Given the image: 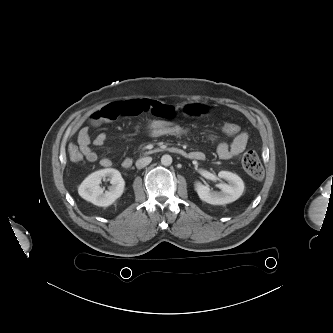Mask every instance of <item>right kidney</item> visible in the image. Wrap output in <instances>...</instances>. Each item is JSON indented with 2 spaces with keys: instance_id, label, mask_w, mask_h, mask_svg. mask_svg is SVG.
Here are the masks:
<instances>
[{
  "instance_id": "1",
  "label": "right kidney",
  "mask_w": 333,
  "mask_h": 333,
  "mask_svg": "<svg viewBox=\"0 0 333 333\" xmlns=\"http://www.w3.org/2000/svg\"><path fill=\"white\" fill-rule=\"evenodd\" d=\"M108 178L112 186L105 191L99 186L102 179ZM125 182L120 172L113 168H106L90 174L80 184L79 195L100 207L112 205L124 192Z\"/></svg>"
}]
</instances>
